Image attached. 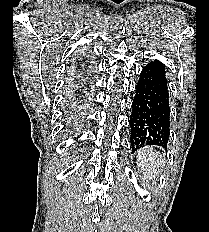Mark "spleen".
Segmentation results:
<instances>
[{
  "label": "spleen",
  "mask_w": 209,
  "mask_h": 232,
  "mask_svg": "<svg viewBox=\"0 0 209 232\" xmlns=\"http://www.w3.org/2000/svg\"><path fill=\"white\" fill-rule=\"evenodd\" d=\"M163 163L159 152L152 147H146L139 150L137 154V165L140 172L146 179L155 181L160 173V167Z\"/></svg>",
  "instance_id": "obj_1"
}]
</instances>
